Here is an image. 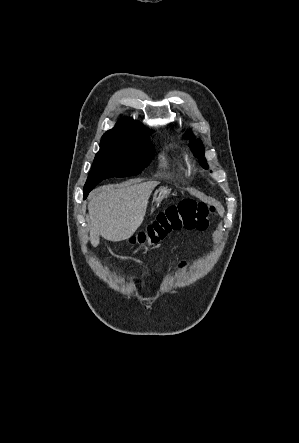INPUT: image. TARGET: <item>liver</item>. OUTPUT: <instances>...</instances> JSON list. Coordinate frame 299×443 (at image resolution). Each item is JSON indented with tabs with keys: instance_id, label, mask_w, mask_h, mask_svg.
<instances>
[{
	"instance_id": "6515ba94",
	"label": "liver",
	"mask_w": 299,
	"mask_h": 443,
	"mask_svg": "<svg viewBox=\"0 0 299 443\" xmlns=\"http://www.w3.org/2000/svg\"><path fill=\"white\" fill-rule=\"evenodd\" d=\"M158 184L156 181L126 183L95 190L88 204L92 246L99 245L100 235L113 242L133 236L144 220L149 197Z\"/></svg>"
}]
</instances>
